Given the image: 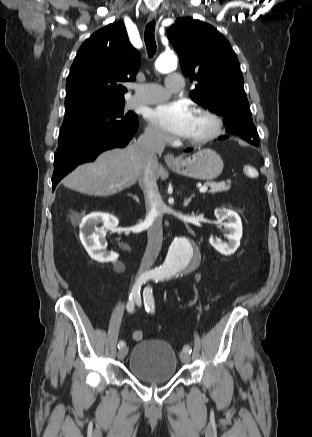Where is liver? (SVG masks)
<instances>
[{"label": "liver", "instance_id": "6515ba94", "mask_svg": "<svg viewBox=\"0 0 312 437\" xmlns=\"http://www.w3.org/2000/svg\"><path fill=\"white\" fill-rule=\"evenodd\" d=\"M144 170L137 142L103 152L92 163L78 166L66 176L65 187L90 196H110L136 183ZM159 177L158 164L155 170Z\"/></svg>", "mask_w": 312, "mask_h": 437}]
</instances>
